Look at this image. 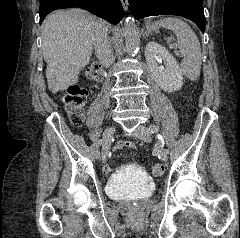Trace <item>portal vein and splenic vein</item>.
<instances>
[{
    "label": "portal vein and splenic vein",
    "mask_w": 240,
    "mask_h": 238,
    "mask_svg": "<svg viewBox=\"0 0 240 238\" xmlns=\"http://www.w3.org/2000/svg\"><path fill=\"white\" fill-rule=\"evenodd\" d=\"M169 42H171V39H169ZM169 46H170V48H173V45H172V44H170Z\"/></svg>",
    "instance_id": "18ae733b"
}]
</instances>
